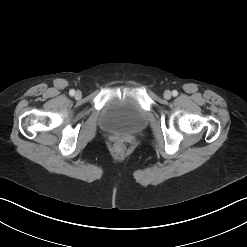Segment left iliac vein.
Returning a JSON list of instances; mask_svg holds the SVG:
<instances>
[{"label":"left iliac vein","instance_id":"obj_1","mask_svg":"<svg viewBox=\"0 0 247 247\" xmlns=\"http://www.w3.org/2000/svg\"><path fill=\"white\" fill-rule=\"evenodd\" d=\"M163 96H164L165 99H170L171 96H172V93H171V91L166 90V91L164 92Z\"/></svg>","mask_w":247,"mask_h":247}]
</instances>
